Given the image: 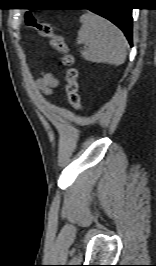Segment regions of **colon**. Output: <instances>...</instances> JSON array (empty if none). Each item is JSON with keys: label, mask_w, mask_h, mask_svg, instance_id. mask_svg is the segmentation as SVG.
I'll use <instances>...</instances> for the list:
<instances>
[{"label": "colon", "mask_w": 156, "mask_h": 266, "mask_svg": "<svg viewBox=\"0 0 156 266\" xmlns=\"http://www.w3.org/2000/svg\"><path fill=\"white\" fill-rule=\"evenodd\" d=\"M25 25L38 32L49 40L53 49L61 55V63L65 67L66 94L69 104L77 111H82L81 98L78 84V71L73 66L74 57L62 36L56 34L51 24L37 20L32 14L25 16Z\"/></svg>", "instance_id": "colon-1"}]
</instances>
